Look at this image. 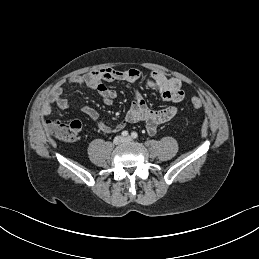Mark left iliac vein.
Segmentation results:
<instances>
[{"label":"left iliac vein","mask_w":259,"mask_h":259,"mask_svg":"<svg viewBox=\"0 0 259 259\" xmlns=\"http://www.w3.org/2000/svg\"><path fill=\"white\" fill-rule=\"evenodd\" d=\"M132 141V138L131 137H126V138H124V142H131Z\"/></svg>","instance_id":"4c4485c4"}]
</instances>
